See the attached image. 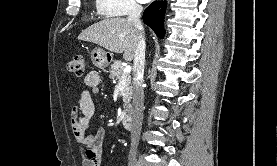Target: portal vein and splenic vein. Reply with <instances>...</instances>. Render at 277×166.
<instances>
[{
	"label": "portal vein and splenic vein",
	"instance_id": "18ae733b",
	"mask_svg": "<svg viewBox=\"0 0 277 166\" xmlns=\"http://www.w3.org/2000/svg\"><path fill=\"white\" fill-rule=\"evenodd\" d=\"M130 70H131V67H130V66H126V67L124 68V72H125V73H129Z\"/></svg>",
	"mask_w": 277,
	"mask_h": 166
}]
</instances>
